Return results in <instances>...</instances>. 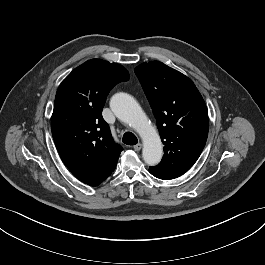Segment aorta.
<instances>
[{"instance_id": "obj_1", "label": "aorta", "mask_w": 265, "mask_h": 265, "mask_svg": "<svg viewBox=\"0 0 265 265\" xmlns=\"http://www.w3.org/2000/svg\"><path fill=\"white\" fill-rule=\"evenodd\" d=\"M110 107L118 119L132 126L142 138L145 163L157 165L163 156L161 139L137 101L129 94L120 92L112 96Z\"/></svg>"}]
</instances>
